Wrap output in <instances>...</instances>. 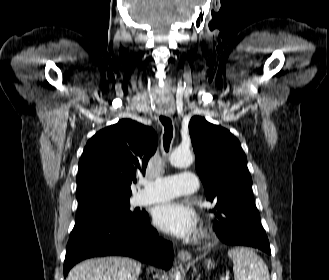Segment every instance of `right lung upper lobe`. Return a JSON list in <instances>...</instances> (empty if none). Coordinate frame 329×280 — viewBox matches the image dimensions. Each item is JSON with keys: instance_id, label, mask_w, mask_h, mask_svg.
Segmentation results:
<instances>
[{"instance_id": "obj_1", "label": "right lung upper lobe", "mask_w": 329, "mask_h": 280, "mask_svg": "<svg viewBox=\"0 0 329 280\" xmlns=\"http://www.w3.org/2000/svg\"><path fill=\"white\" fill-rule=\"evenodd\" d=\"M155 131L131 119L97 132L87 142L79 161L77 199L94 195L131 196V183L145 172L155 153Z\"/></svg>"}]
</instances>
